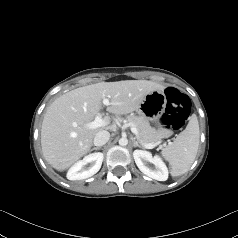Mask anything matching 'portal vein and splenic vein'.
Instances as JSON below:
<instances>
[{
    "label": "portal vein and splenic vein",
    "mask_w": 238,
    "mask_h": 238,
    "mask_svg": "<svg viewBox=\"0 0 238 238\" xmlns=\"http://www.w3.org/2000/svg\"><path fill=\"white\" fill-rule=\"evenodd\" d=\"M103 104L108 106L110 105V101L108 98H104L103 99ZM107 125V121L105 119L102 118V115L101 114H98L94 121L90 122L87 124V127L89 129H95V128H99V127H103ZM131 131L133 134H135L136 136L138 135V130L136 129V127L132 126L131 127ZM159 144L158 143H148V144H144V146L147 148V149H153L154 147H156L157 145Z\"/></svg>",
    "instance_id": "portal-vein-and-splenic-vein-1"
}]
</instances>
